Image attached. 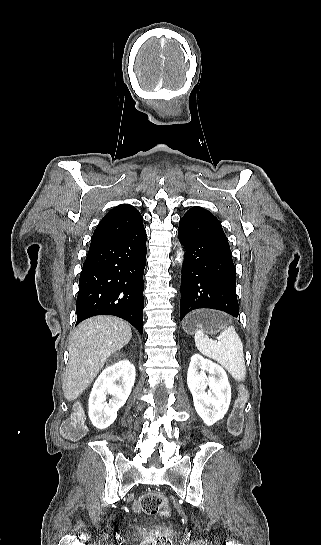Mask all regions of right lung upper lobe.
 Here are the masks:
<instances>
[{"label":"right lung upper lobe","instance_id":"cb5924a9","mask_svg":"<svg viewBox=\"0 0 321 545\" xmlns=\"http://www.w3.org/2000/svg\"><path fill=\"white\" fill-rule=\"evenodd\" d=\"M141 226L142 216L134 206L118 205L102 218L93 233L91 245L121 237Z\"/></svg>","mask_w":321,"mask_h":545}]
</instances>
